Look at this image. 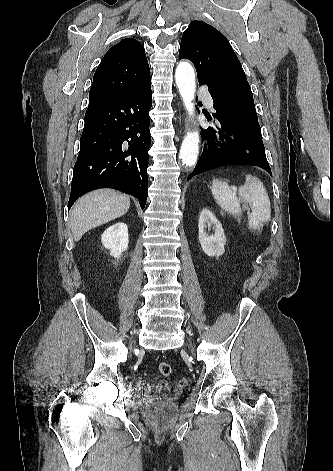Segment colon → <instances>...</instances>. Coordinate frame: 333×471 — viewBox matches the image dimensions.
Returning <instances> with one entry per match:
<instances>
[{"mask_svg": "<svg viewBox=\"0 0 333 471\" xmlns=\"http://www.w3.org/2000/svg\"><path fill=\"white\" fill-rule=\"evenodd\" d=\"M158 369H159V372L163 376H169L171 374V371H172L171 365L168 362L159 363Z\"/></svg>", "mask_w": 333, "mask_h": 471, "instance_id": "1", "label": "colon"}]
</instances>
